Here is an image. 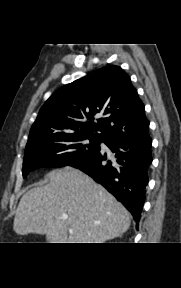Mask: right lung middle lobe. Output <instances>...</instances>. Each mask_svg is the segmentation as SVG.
I'll list each match as a JSON object with an SVG mask.
<instances>
[{
    "label": "right lung middle lobe",
    "instance_id": "obj_1",
    "mask_svg": "<svg viewBox=\"0 0 181 288\" xmlns=\"http://www.w3.org/2000/svg\"><path fill=\"white\" fill-rule=\"evenodd\" d=\"M98 137L86 134H51L28 141L23 177L39 167L72 165L100 150Z\"/></svg>",
    "mask_w": 181,
    "mask_h": 288
}]
</instances>
